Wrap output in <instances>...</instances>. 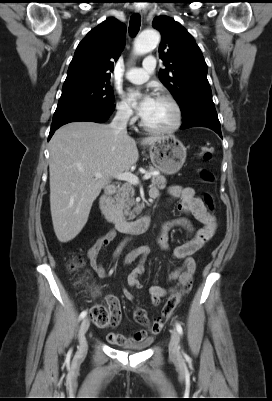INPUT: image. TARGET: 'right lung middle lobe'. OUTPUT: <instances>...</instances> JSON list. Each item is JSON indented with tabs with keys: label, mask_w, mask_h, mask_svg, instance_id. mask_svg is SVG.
Wrapping results in <instances>:
<instances>
[{
	"label": "right lung middle lobe",
	"mask_w": 272,
	"mask_h": 401,
	"mask_svg": "<svg viewBox=\"0 0 272 401\" xmlns=\"http://www.w3.org/2000/svg\"><path fill=\"white\" fill-rule=\"evenodd\" d=\"M113 102L114 94L109 81L62 90L53 119L81 111L111 113L114 111Z\"/></svg>",
	"instance_id": "1"
}]
</instances>
